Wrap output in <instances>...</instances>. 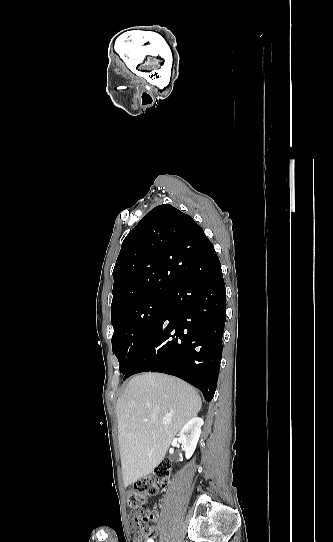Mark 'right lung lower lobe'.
I'll return each mask as SVG.
<instances>
[{"mask_svg": "<svg viewBox=\"0 0 333 542\" xmlns=\"http://www.w3.org/2000/svg\"><path fill=\"white\" fill-rule=\"evenodd\" d=\"M184 274L168 292L165 311L139 348L124 380L152 371L177 376L207 401L216 391L226 321V291L211 244L170 254Z\"/></svg>", "mask_w": 333, "mask_h": 542, "instance_id": "obj_1", "label": "right lung lower lobe"}]
</instances>
